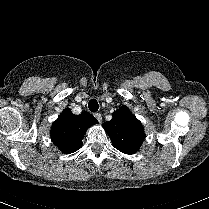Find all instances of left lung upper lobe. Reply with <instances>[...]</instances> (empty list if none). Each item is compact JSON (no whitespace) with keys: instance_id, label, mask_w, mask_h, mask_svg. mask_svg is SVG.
<instances>
[{"instance_id":"left-lung-upper-lobe-1","label":"left lung upper lobe","mask_w":209,"mask_h":209,"mask_svg":"<svg viewBox=\"0 0 209 209\" xmlns=\"http://www.w3.org/2000/svg\"><path fill=\"white\" fill-rule=\"evenodd\" d=\"M113 146L125 154L135 153L141 146L145 134L141 122L126 106L113 113V118L103 124Z\"/></svg>"}]
</instances>
